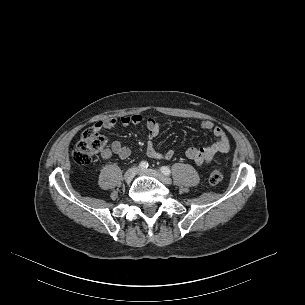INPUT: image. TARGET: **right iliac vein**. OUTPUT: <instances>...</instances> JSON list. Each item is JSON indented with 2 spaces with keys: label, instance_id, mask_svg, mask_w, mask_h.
<instances>
[{
  "label": "right iliac vein",
  "instance_id": "right-iliac-vein-1",
  "mask_svg": "<svg viewBox=\"0 0 305 305\" xmlns=\"http://www.w3.org/2000/svg\"><path fill=\"white\" fill-rule=\"evenodd\" d=\"M139 169L137 167H131L124 173V180L130 182L133 180L135 175L138 173Z\"/></svg>",
  "mask_w": 305,
  "mask_h": 305
}]
</instances>
